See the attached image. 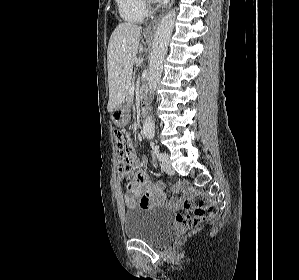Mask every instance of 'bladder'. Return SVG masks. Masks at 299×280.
<instances>
[{"label": "bladder", "instance_id": "31cf9c89", "mask_svg": "<svg viewBox=\"0 0 299 280\" xmlns=\"http://www.w3.org/2000/svg\"><path fill=\"white\" fill-rule=\"evenodd\" d=\"M124 234L129 239L142 240L156 247L172 237L175 221L171 211L160 206L129 210L124 215Z\"/></svg>", "mask_w": 299, "mask_h": 280}]
</instances>
